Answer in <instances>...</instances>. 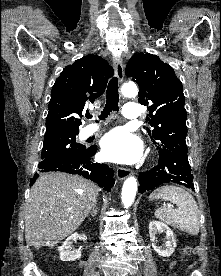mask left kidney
<instances>
[{
  "mask_svg": "<svg viewBox=\"0 0 221 276\" xmlns=\"http://www.w3.org/2000/svg\"><path fill=\"white\" fill-rule=\"evenodd\" d=\"M157 232H165L167 242L164 247H158L153 245L154 250L162 257H169L174 252L176 247V241L171 229L160 221L153 220L149 224L150 241L153 243L156 240Z\"/></svg>",
  "mask_w": 221,
  "mask_h": 276,
  "instance_id": "left-kidney-1",
  "label": "left kidney"
}]
</instances>
